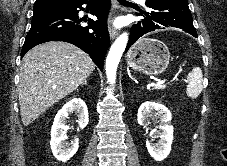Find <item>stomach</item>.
Returning a JSON list of instances; mask_svg holds the SVG:
<instances>
[{
	"instance_id": "1",
	"label": "stomach",
	"mask_w": 227,
	"mask_h": 166,
	"mask_svg": "<svg viewBox=\"0 0 227 166\" xmlns=\"http://www.w3.org/2000/svg\"><path fill=\"white\" fill-rule=\"evenodd\" d=\"M169 60L168 47L157 39L141 38L127 53L128 66L146 75L162 73L167 68Z\"/></svg>"
}]
</instances>
